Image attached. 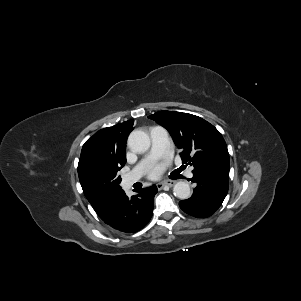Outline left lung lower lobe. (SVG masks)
<instances>
[{
	"label": "left lung lower lobe",
	"mask_w": 301,
	"mask_h": 301,
	"mask_svg": "<svg viewBox=\"0 0 301 301\" xmlns=\"http://www.w3.org/2000/svg\"><path fill=\"white\" fill-rule=\"evenodd\" d=\"M191 181L195 184L193 195L179 202L181 209L197 218L211 216L225 199L228 185L197 175H193Z\"/></svg>",
	"instance_id": "0a47b994"
}]
</instances>
